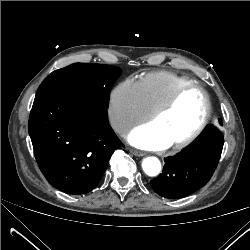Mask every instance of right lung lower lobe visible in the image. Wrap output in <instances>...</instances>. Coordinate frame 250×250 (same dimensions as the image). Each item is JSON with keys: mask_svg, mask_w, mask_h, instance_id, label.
Segmentation results:
<instances>
[{"mask_svg": "<svg viewBox=\"0 0 250 250\" xmlns=\"http://www.w3.org/2000/svg\"><path fill=\"white\" fill-rule=\"evenodd\" d=\"M28 129L43 175L68 194L95 188L113 152L123 147L106 107L64 91L35 97Z\"/></svg>", "mask_w": 250, "mask_h": 250, "instance_id": "right-lung-lower-lobe-1", "label": "right lung lower lobe"}]
</instances>
